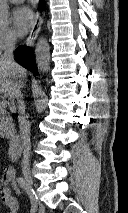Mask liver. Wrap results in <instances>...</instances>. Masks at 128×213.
<instances>
[{"label":"liver","instance_id":"liver-1","mask_svg":"<svg viewBox=\"0 0 128 213\" xmlns=\"http://www.w3.org/2000/svg\"><path fill=\"white\" fill-rule=\"evenodd\" d=\"M26 80L25 70L20 67L19 72L14 71L10 65L0 58V93L8 94Z\"/></svg>","mask_w":128,"mask_h":213}]
</instances>
